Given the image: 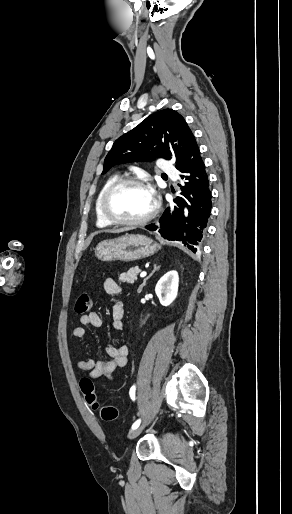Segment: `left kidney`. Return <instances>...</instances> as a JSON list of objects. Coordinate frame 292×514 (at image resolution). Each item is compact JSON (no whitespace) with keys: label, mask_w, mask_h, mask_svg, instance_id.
Listing matches in <instances>:
<instances>
[{"label":"left kidney","mask_w":292,"mask_h":514,"mask_svg":"<svg viewBox=\"0 0 292 514\" xmlns=\"http://www.w3.org/2000/svg\"><path fill=\"white\" fill-rule=\"evenodd\" d=\"M178 274L175 270L167 272L156 284L155 292L162 306H170L175 300L178 292Z\"/></svg>","instance_id":"obj_1"}]
</instances>
